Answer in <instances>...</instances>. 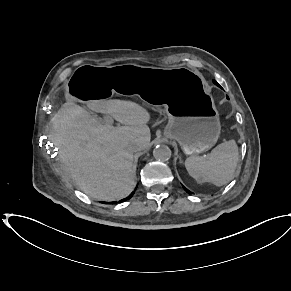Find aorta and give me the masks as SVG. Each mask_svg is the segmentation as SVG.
Here are the masks:
<instances>
[{"instance_id": "aorta-1", "label": "aorta", "mask_w": 291, "mask_h": 291, "mask_svg": "<svg viewBox=\"0 0 291 291\" xmlns=\"http://www.w3.org/2000/svg\"><path fill=\"white\" fill-rule=\"evenodd\" d=\"M171 150L167 145H160L157 146L154 150H153V156L155 159L159 160V161H167L171 158Z\"/></svg>"}]
</instances>
